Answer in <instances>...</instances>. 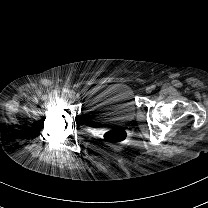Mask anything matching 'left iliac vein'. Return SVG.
<instances>
[{
  "label": "left iliac vein",
  "mask_w": 208,
  "mask_h": 208,
  "mask_svg": "<svg viewBox=\"0 0 208 208\" xmlns=\"http://www.w3.org/2000/svg\"><path fill=\"white\" fill-rule=\"evenodd\" d=\"M152 92V88L151 87H147L146 88V93H151Z\"/></svg>",
  "instance_id": "left-iliac-vein-1"
}]
</instances>
